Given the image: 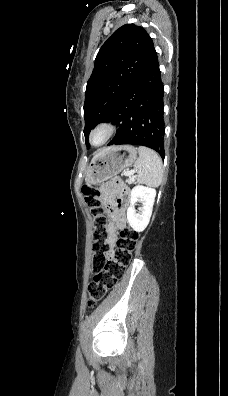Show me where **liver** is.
Here are the masks:
<instances>
[{
  "instance_id": "liver-1",
  "label": "liver",
  "mask_w": 228,
  "mask_h": 396,
  "mask_svg": "<svg viewBox=\"0 0 228 396\" xmlns=\"http://www.w3.org/2000/svg\"><path fill=\"white\" fill-rule=\"evenodd\" d=\"M109 148H106V149H104V150H102L100 153H98L94 158H93V160L97 157V156H99L102 152H104V151H106V150H108ZM92 160V161H93Z\"/></svg>"
}]
</instances>
